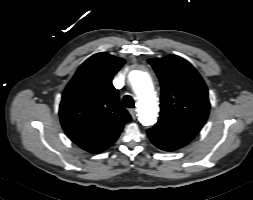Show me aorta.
Wrapping results in <instances>:
<instances>
[{
  "label": "aorta",
  "instance_id": "762f6f07",
  "mask_svg": "<svg viewBox=\"0 0 253 200\" xmlns=\"http://www.w3.org/2000/svg\"><path fill=\"white\" fill-rule=\"evenodd\" d=\"M130 81L137 96L140 123L144 126H152L158 117V99L151 77L145 71L136 70Z\"/></svg>",
  "mask_w": 253,
  "mask_h": 200
}]
</instances>
